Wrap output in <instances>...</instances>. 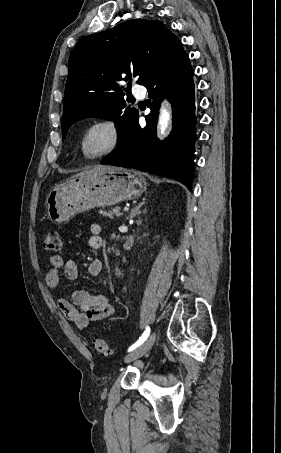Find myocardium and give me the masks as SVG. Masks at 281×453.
I'll return each mask as SVG.
<instances>
[{
    "mask_svg": "<svg viewBox=\"0 0 281 453\" xmlns=\"http://www.w3.org/2000/svg\"><path fill=\"white\" fill-rule=\"evenodd\" d=\"M100 133L103 140L92 142L91 138ZM120 132L116 125L107 119H99L89 123L78 138L77 150L84 160H94L114 151L120 142Z\"/></svg>",
    "mask_w": 281,
    "mask_h": 453,
    "instance_id": "myocardium-1",
    "label": "myocardium"
}]
</instances>
